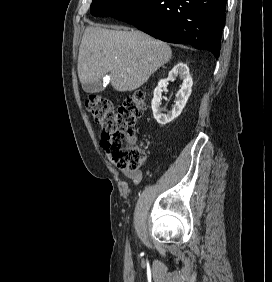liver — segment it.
I'll list each match as a JSON object with an SVG mask.
<instances>
[{
	"mask_svg": "<svg viewBox=\"0 0 272 282\" xmlns=\"http://www.w3.org/2000/svg\"><path fill=\"white\" fill-rule=\"evenodd\" d=\"M171 58L172 50L167 43L141 31L89 26L79 49L78 77L83 85L109 74L117 91H133Z\"/></svg>",
	"mask_w": 272,
	"mask_h": 282,
	"instance_id": "6515ba94",
	"label": "liver"
}]
</instances>
